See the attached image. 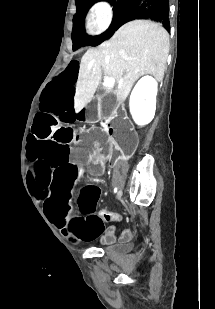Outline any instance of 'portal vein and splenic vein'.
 I'll return each instance as SVG.
<instances>
[{"instance_id":"portal-vein-and-splenic-vein-1","label":"portal vein and splenic vein","mask_w":215,"mask_h":309,"mask_svg":"<svg viewBox=\"0 0 215 309\" xmlns=\"http://www.w3.org/2000/svg\"><path fill=\"white\" fill-rule=\"evenodd\" d=\"M115 78H111V76H104V86H114Z\"/></svg>"}]
</instances>
